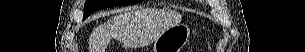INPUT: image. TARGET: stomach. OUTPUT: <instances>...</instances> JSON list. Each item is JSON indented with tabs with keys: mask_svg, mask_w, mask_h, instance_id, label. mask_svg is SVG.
Wrapping results in <instances>:
<instances>
[{
	"mask_svg": "<svg viewBox=\"0 0 305 52\" xmlns=\"http://www.w3.org/2000/svg\"><path fill=\"white\" fill-rule=\"evenodd\" d=\"M190 32L185 24L170 27L154 40L152 52H181L189 41Z\"/></svg>",
	"mask_w": 305,
	"mask_h": 52,
	"instance_id": "obj_1",
	"label": "stomach"
}]
</instances>
